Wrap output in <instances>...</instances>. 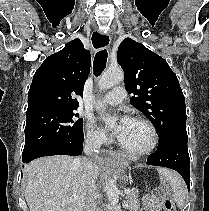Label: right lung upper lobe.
<instances>
[{
	"mask_svg": "<svg viewBox=\"0 0 209 211\" xmlns=\"http://www.w3.org/2000/svg\"><path fill=\"white\" fill-rule=\"evenodd\" d=\"M91 65L90 52L80 39L47 57L34 74L28 92L27 113L43 109L76 110L73 96L83 97V87Z\"/></svg>",
	"mask_w": 209,
	"mask_h": 211,
	"instance_id": "right-lung-upper-lobe-1",
	"label": "right lung upper lobe"
}]
</instances>
